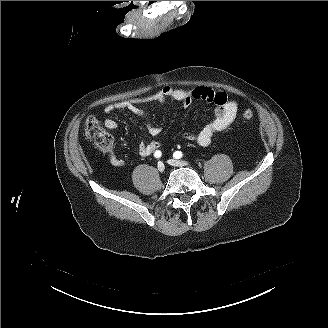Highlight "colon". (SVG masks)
<instances>
[{
    "mask_svg": "<svg viewBox=\"0 0 328 328\" xmlns=\"http://www.w3.org/2000/svg\"><path fill=\"white\" fill-rule=\"evenodd\" d=\"M242 115L244 119H251L254 113L251 109H245ZM84 133L100 150L107 151L112 147L113 139L111 135L101 128L99 121L95 117L87 118L84 125Z\"/></svg>",
    "mask_w": 328,
    "mask_h": 328,
    "instance_id": "1",
    "label": "colon"
}]
</instances>
